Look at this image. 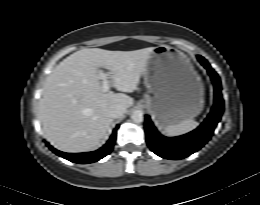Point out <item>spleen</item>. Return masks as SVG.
I'll list each match as a JSON object with an SVG mask.
<instances>
[{"label":"spleen","instance_id":"3e777b00","mask_svg":"<svg viewBox=\"0 0 260 205\" xmlns=\"http://www.w3.org/2000/svg\"><path fill=\"white\" fill-rule=\"evenodd\" d=\"M196 126L197 122L191 118L184 120L179 124L167 126L164 131L169 136H178L192 131Z\"/></svg>","mask_w":260,"mask_h":205}]
</instances>
